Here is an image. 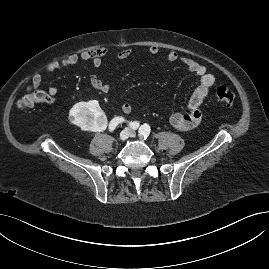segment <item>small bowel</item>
<instances>
[{"label":"small bowel","mask_w":269,"mask_h":269,"mask_svg":"<svg viewBox=\"0 0 269 269\" xmlns=\"http://www.w3.org/2000/svg\"><path fill=\"white\" fill-rule=\"evenodd\" d=\"M148 53L155 55L159 52L157 46H150L147 49ZM106 47H100L92 50H85L80 54H70L61 60H56L49 63L44 68V74H51L53 72L66 69L73 65H76L80 61L92 62L95 67H100L103 64V59L108 54ZM132 54L130 48L121 50L116 54V59L124 60ZM167 63L180 62L184 67L192 74L196 75L199 79L197 87L191 94L187 103V110L185 112H175L170 116V123L178 130L188 131L196 127L201 119L202 112L200 106L203 101L209 96L211 88L216 82V77L212 73H209L207 68L200 62L181 57L175 50H169L165 56ZM43 75L41 73H35L31 79L32 86L35 89H39L42 84ZM92 86L103 94H107L110 91V85L103 81L98 75L93 74L90 77ZM58 90L55 86L48 87L45 94V103L53 102ZM121 111L124 114H130L132 112V105L129 102H123L120 106ZM122 123L124 120H119ZM118 123V124H119Z\"/></svg>","instance_id":"c3829d8e"}]
</instances>
